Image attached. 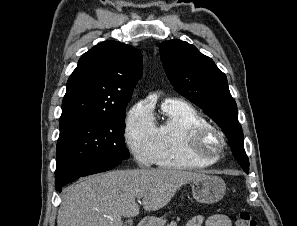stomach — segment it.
<instances>
[{"mask_svg": "<svg viewBox=\"0 0 297 226\" xmlns=\"http://www.w3.org/2000/svg\"><path fill=\"white\" fill-rule=\"evenodd\" d=\"M194 199L199 203L213 204L220 201L225 195L226 185L219 176L205 175L191 183ZM166 220L162 217H152L147 226H164Z\"/></svg>", "mask_w": 297, "mask_h": 226, "instance_id": "obj_1", "label": "stomach"}]
</instances>
